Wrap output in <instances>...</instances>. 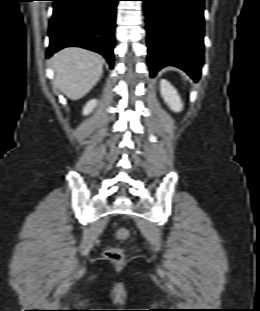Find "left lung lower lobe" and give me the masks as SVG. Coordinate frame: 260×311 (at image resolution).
I'll list each match as a JSON object with an SVG mask.
<instances>
[{"label":"left lung lower lobe","instance_id":"obj_1","mask_svg":"<svg viewBox=\"0 0 260 311\" xmlns=\"http://www.w3.org/2000/svg\"><path fill=\"white\" fill-rule=\"evenodd\" d=\"M142 1L150 76L171 65L197 82L204 62V0Z\"/></svg>","mask_w":260,"mask_h":311}]
</instances>
